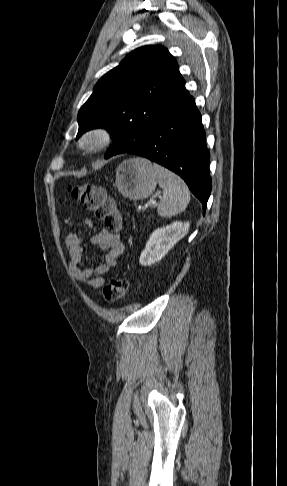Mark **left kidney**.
Here are the masks:
<instances>
[{
	"instance_id": "left-kidney-1",
	"label": "left kidney",
	"mask_w": 287,
	"mask_h": 486,
	"mask_svg": "<svg viewBox=\"0 0 287 486\" xmlns=\"http://www.w3.org/2000/svg\"><path fill=\"white\" fill-rule=\"evenodd\" d=\"M189 227V222L177 221L156 229L150 235L146 247L140 255V264L151 266L159 262L188 233Z\"/></svg>"
}]
</instances>
